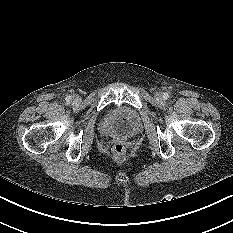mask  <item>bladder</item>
<instances>
[{
    "instance_id": "obj_1",
    "label": "bladder",
    "mask_w": 233,
    "mask_h": 233,
    "mask_svg": "<svg viewBox=\"0 0 233 233\" xmlns=\"http://www.w3.org/2000/svg\"><path fill=\"white\" fill-rule=\"evenodd\" d=\"M100 132L110 138H130L142 130V122L136 110L118 106L108 110L99 123Z\"/></svg>"
}]
</instances>
